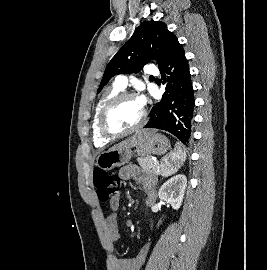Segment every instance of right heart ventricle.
<instances>
[{
    "label": "right heart ventricle",
    "mask_w": 267,
    "mask_h": 270,
    "mask_svg": "<svg viewBox=\"0 0 267 270\" xmlns=\"http://www.w3.org/2000/svg\"><path fill=\"white\" fill-rule=\"evenodd\" d=\"M121 90L122 89L120 87H118L116 84H113L112 87H110L102 95V97L99 99V101L96 105L94 115H93V120H92V136H93L94 144L97 147H103L110 142L109 139L104 138L99 132V128H98L99 114H100L102 108L106 105V103L111 98H113L115 95L119 94Z\"/></svg>",
    "instance_id": "obj_1"
}]
</instances>
